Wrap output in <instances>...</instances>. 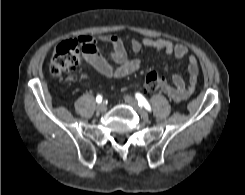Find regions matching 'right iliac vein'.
Listing matches in <instances>:
<instances>
[{"label":"right iliac vein","mask_w":245,"mask_h":195,"mask_svg":"<svg viewBox=\"0 0 245 195\" xmlns=\"http://www.w3.org/2000/svg\"><path fill=\"white\" fill-rule=\"evenodd\" d=\"M107 109V106L105 103H100L98 106H97V110L101 113L105 112Z\"/></svg>","instance_id":"63e3f726"}]
</instances>
